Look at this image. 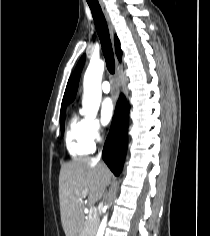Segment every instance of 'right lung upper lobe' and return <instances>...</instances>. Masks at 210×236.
I'll list each match as a JSON object with an SVG mask.
<instances>
[{
    "label": "right lung upper lobe",
    "mask_w": 210,
    "mask_h": 236,
    "mask_svg": "<svg viewBox=\"0 0 210 236\" xmlns=\"http://www.w3.org/2000/svg\"><path fill=\"white\" fill-rule=\"evenodd\" d=\"M115 49H116L117 57L119 58V60H121L122 51L120 49V42H119L117 36H115ZM70 85H71V78L69 79L66 90H65V94H64V97H63L62 105H61V112H65V108H66V105H67V97H68V94H69V91H70Z\"/></svg>",
    "instance_id": "right-lung-upper-lobe-1"
}]
</instances>
